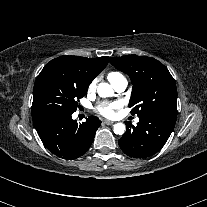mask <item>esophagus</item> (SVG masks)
Returning <instances> with one entry per match:
<instances>
[{
  "label": "esophagus",
  "mask_w": 207,
  "mask_h": 207,
  "mask_svg": "<svg viewBox=\"0 0 207 207\" xmlns=\"http://www.w3.org/2000/svg\"><path fill=\"white\" fill-rule=\"evenodd\" d=\"M103 122L106 124V125H112L114 122L113 121H110V120H103Z\"/></svg>",
  "instance_id": "34e87169"
}]
</instances>
